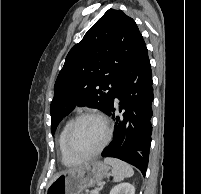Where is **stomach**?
Wrapping results in <instances>:
<instances>
[{
	"label": "stomach",
	"mask_w": 201,
	"mask_h": 194,
	"mask_svg": "<svg viewBox=\"0 0 201 194\" xmlns=\"http://www.w3.org/2000/svg\"><path fill=\"white\" fill-rule=\"evenodd\" d=\"M108 166L99 161L87 163L79 168L58 175L47 188L46 194H80L107 175Z\"/></svg>",
	"instance_id": "0dacf381"
}]
</instances>
